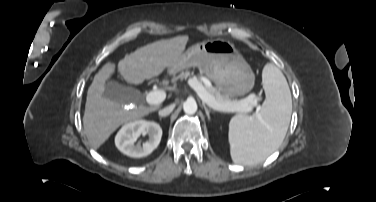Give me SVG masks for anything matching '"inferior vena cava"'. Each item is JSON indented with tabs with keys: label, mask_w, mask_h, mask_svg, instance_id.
<instances>
[{
	"label": "inferior vena cava",
	"mask_w": 376,
	"mask_h": 202,
	"mask_svg": "<svg viewBox=\"0 0 376 202\" xmlns=\"http://www.w3.org/2000/svg\"><path fill=\"white\" fill-rule=\"evenodd\" d=\"M174 109V105H169L161 110H159V116L166 117L168 116Z\"/></svg>",
	"instance_id": "obj_1"
}]
</instances>
